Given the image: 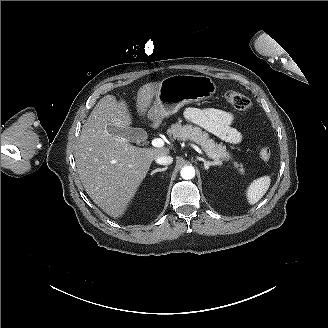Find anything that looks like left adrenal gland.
Instances as JSON below:
<instances>
[{"mask_svg":"<svg viewBox=\"0 0 328 328\" xmlns=\"http://www.w3.org/2000/svg\"><path fill=\"white\" fill-rule=\"evenodd\" d=\"M197 159L199 160V158H197ZM200 161H202L204 163L205 170H208L209 166L214 165L213 162L206 161L205 159H201Z\"/></svg>","mask_w":328,"mask_h":328,"instance_id":"a2214340","label":"left adrenal gland"}]
</instances>
